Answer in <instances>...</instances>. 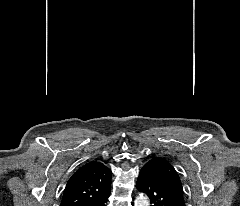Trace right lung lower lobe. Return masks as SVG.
Wrapping results in <instances>:
<instances>
[{"label":"right lung lower lobe","mask_w":240,"mask_h":206,"mask_svg":"<svg viewBox=\"0 0 240 206\" xmlns=\"http://www.w3.org/2000/svg\"><path fill=\"white\" fill-rule=\"evenodd\" d=\"M109 195H110V192L95 199L92 202L87 203L85 206H106L105 203L107 202Z\"/></svg>","instance_id":"98d812e1"}]
</instances>
